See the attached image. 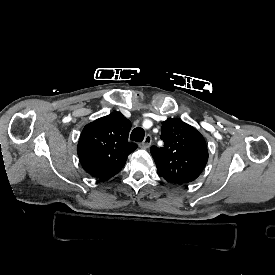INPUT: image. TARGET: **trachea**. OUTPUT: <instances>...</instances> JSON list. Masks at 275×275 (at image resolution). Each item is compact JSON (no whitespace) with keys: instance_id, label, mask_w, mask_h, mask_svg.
Wrapping results in <instances>:
<instances>
[{"instance_id":"3493384b","label":"trachea","mask_w":275,"mask_h":275,"mask_svg":"<svg viewBox=\"0 0 275 275\" xmlns=\"http://www.w3.org/2000/svg\"><path fill=\"white\" fill-rule=\"evenodd\" d=\"M144 136L145 132L142 128H135L130 135V139L135 142H142Z\"/></svg>"}]
</instances>
